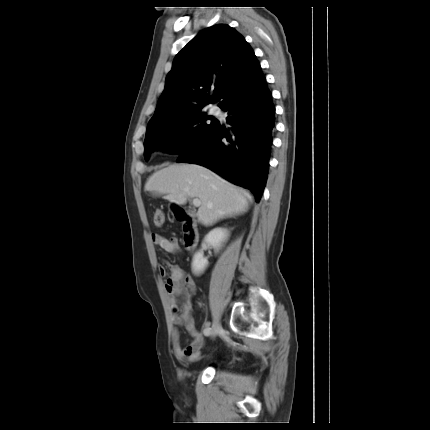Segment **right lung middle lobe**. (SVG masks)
Segmentation results:
<instances>
[{"mask_svg":"<svg viewBox=\"0 0 430 430\" xmlns=\"http://www.w3.org/2000/svg\"><path fill=\"white\" fill-rule=\"evenodd\" d=\"M193 108L147 128L145 158L161 148L172 154H187L200 147L218 124L217 119Z\"/></svg>","mask_w":430,"mask_h":430,"instance_id":"1","label":"right lung middle lobe"}]
</instances>
